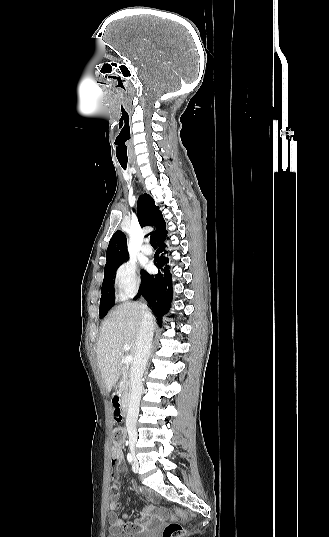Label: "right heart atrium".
Masks as SVG:
<instances>
[{"instance_id":"obj_1","label":"right heart atrium","mask_w":329,"mask_h":537,"mask_svg":"<svg viewBox=\"0 0 329 537\" xmlns=\"http://www.w3.org/2000/svg\"><path fill=\"white\" fill-rule=\"evenodd\" d=\"M114 284L120 298H129L139 288L140 279L136 263L132 260L122 262L115 270Z\"/></svg>"}]
</instances>
